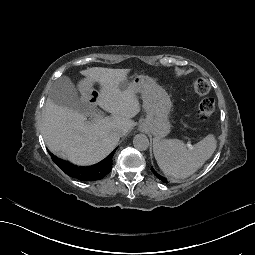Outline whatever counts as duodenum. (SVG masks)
Segmentation results:
<instances>
[{"label": "duodenum", "mask_w": 255, "mask_h": 255, "mask_svg": "<svg viewBox=\"0 0 255 255\" xmlns=\"http://www.w3.org/2000/svg\"><path fill=\"white\" fill-rule=\"evenodd\" d=\"M81 95L85 103L91 107L95 106L98 100V93L89 85L84 84L80 88Z\"/></svg>", "instance_id": "obj_1"}]
</instances>
